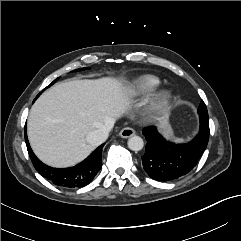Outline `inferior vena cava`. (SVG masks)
<instances>
[{
    "mask_svg": "<svg viewBox=\"0 0 241 241\" xmlns=\"http://www.w3.org/2000/svg\"><path fill=\"white\" fill-rule=\"evenodd\" d=\"M114 125L113 121H109L106 124L100 126L98 129L92 131L87 136V141L92 146H99L104 143L109 135V132L112 130Z\"/></svg>",
    "mask_w": 241,
    "mask_h": 241,
    "instance_id": "inferior-vena-cava-1",
    "label": "inferior vena cava"
}]
</instances>
